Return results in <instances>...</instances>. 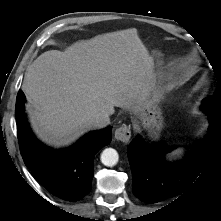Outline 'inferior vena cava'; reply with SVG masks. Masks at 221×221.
I'll return each instance as SVG.
<instances>
[{"label":"inferior vena cava","instance_id":"1","mask_svg":"<svg viewBox=\"0 0 221 221\" xmlns=\"http://www.w3.org/2000/svg\"><path fill=\"white\" fill-rule=\"evenodd\" d=\"M113 112V108L107 112H99L90 119L89 124L92 128H104L110 123L109 115Z\"/></svg>","mask_w":221,"mask_h":221}]
</instances>
